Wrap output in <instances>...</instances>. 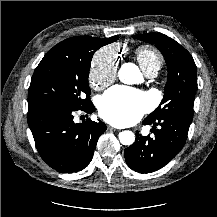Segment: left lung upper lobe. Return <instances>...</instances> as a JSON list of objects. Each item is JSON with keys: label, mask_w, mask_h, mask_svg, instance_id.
<instances>
[{"label": "left lung upper lobe", "mask_w": 217, "mask_h": 217, "mask_svg": "<svg viewBox=\"0 0 217 217\" xmlns=\"http://www.w3.org/2000/svg\"><path fill=\"white\" fill-rule=\"evenodd\" d=\"M133 37L154 44L165 57L168 66L164 97L158 108L147 118L157 120L175 115L192 121L197 70L191 54L175 40L163 34L146 33Z\"/></svg>", "instance_id": "obj_1"}]
</instances>
